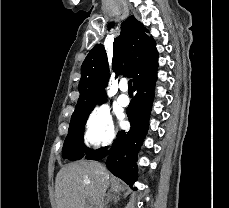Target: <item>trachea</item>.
<instances>
[{
    "label": "trachea",
    "mask_w": 229,
    "mask_h": 208,
    "mask_svg": "<svg viewBox=\"0 0 229 208\" xmlns=\"http://www.w3.org/2000/svg\"><path fill=\"white\" fill-rule=\"evenodd\" d=\"M128 91H133L132 80L128 81Z\"/></svg>",
    "instance_id": "1"
}]
</instances>
